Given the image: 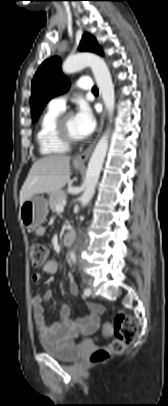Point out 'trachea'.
Listing matches in <instances>:
<instances>
[{
  "instance_id": "1",
  "label": "trachea",
  "mask_w": 168,
  "mask_h": 406,
  "mask_svg": "<svg viewBox=\"0 0 168 406\" xmlns=\"http://www.w3.org/2000/svg\"><path fill=\"white\" fill-rule=\"evenodd\" d=\"M92 91H93L94 93H98V89H97V87H96V86H94V87H93V89H92Z\"/></svg>"
}]
</instances>
